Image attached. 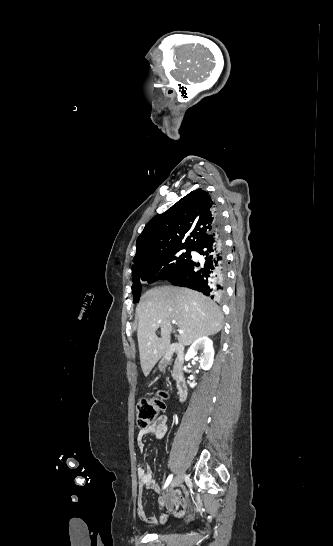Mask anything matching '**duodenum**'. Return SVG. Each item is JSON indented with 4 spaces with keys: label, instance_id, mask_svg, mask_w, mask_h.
Returning <instances> with one entry per match:
<instances>
[{
    "label": "duodenum",
    "instance_id": "obj_1",
    "mask_svg": "<svg viewBox=\"0 0 333 546\" xmlns=\"http://www.w3.org/2000/svg\"><path fill=\"white\" fill-rule=\"evenodd\" d=\"M168 356L175 359L173 377L175 380L176 392L180 400H184L188 393L186 378L183 373L184 348L181 345L173 344L168 350Z\"/></svg>",
    "mask_w": 333,
    "mask_h": 546
}]
</instances>
